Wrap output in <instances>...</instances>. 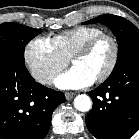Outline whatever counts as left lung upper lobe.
I'll use <instances>...</instances> for the list:
<instances>
[{
    "label": "left lung upper lobe",
    "instance_id": "1",
    "mask_svg": "<svg viewBox=\"0 0 139 139\" xmlns=\"http://www.w3.org/2000/svg\"><path fill=\"white\" fill-rule=\"evenodd\" d=\"M85 24L101 23L110 28L118 42V58L113 70L126 62L131 56L139 54V29L123 17L105 14Z\"/></svg>",
    "mask_w": 139,
    "mask_h": 139
}]
</instances>
